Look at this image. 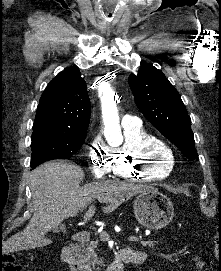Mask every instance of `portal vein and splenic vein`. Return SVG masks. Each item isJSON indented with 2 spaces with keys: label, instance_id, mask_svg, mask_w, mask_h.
<instances>
[{
  "label": "portal vein and splenic vein",
  "instance_id": "obj_1",
  "mask_svg": "<svg viewBox=\"0 0 221 271\" xmlns=\"http://www.w3.org/2000/svg\"><path fill=\"white\" fill-rule=\"evenodd\" d=\"M100 236L102 237L101 238L102 242H107L108 238L110 237V234L107 231H102ZM126 237L128 238L127 239L128 242H139L141 240L139 237H137L136 234L131 235L128 234Z\"/></svg>",
  "mask_w": 221,
  "mask_h": 271
}]
</instances>
